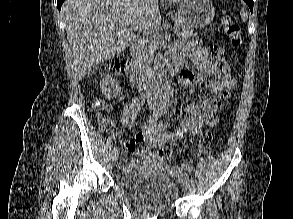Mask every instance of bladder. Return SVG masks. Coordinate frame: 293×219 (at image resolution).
<instances>
[{
	"label": "bladder",
	"mask_w": 293,
	"mask_h": 219,
	"mask_svg": "<svg viewBox=\"0 0 293 219\" xmlns=\"http://www.w3.org/2000/svg\"><path fill=\"white\" fill-rule=\"evenodd\" d=\"M115 185L135 204L161 209L171 206L179 196V189L162 173H147L138 166L121 169L115 175Z\"/></svg>",
	"instance_id": "bladder-1"
}]
</instances>
